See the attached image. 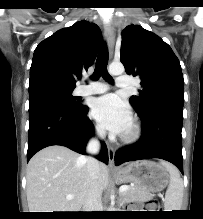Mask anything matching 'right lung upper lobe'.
<instances>
[{
	"label": "right lung upper lobe",
	"instance_id": "obj_1",
	"mask_svg": "<svg viewBox=\"0 0 203 219\" xmlns=\"http://www.w3.org/2000/svg\"><path fill=\"white\" fill-rule=\"evenodd\" d=\"M100 40L99 27L85 20L58 30L36 47L30 82L53 80L75 87L81 71L93 64Z\"/></svg>",
	"mask_w": 203,
	"mask_h": 219
}]
</instances>
